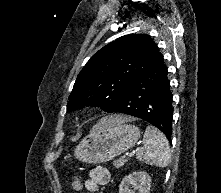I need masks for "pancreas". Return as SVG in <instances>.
Listing matches in <instances>:
<instances>
[{"label":"pancreas","instance_id":"pancreas-1","mask_svg":"<svg viewBox=\"0 0 221 193\" xmlns=\"http://www.w3.org/2000/svg\"><path fill=\"white\" fill-rule=\"evenodd\" d=\"M126 161H127L126 158H120V159L115 160L113 162V166L115 168H120V167H122L126 163Z\"/></svg>","mask_w":221,"mask_h":193}]
</instances>
